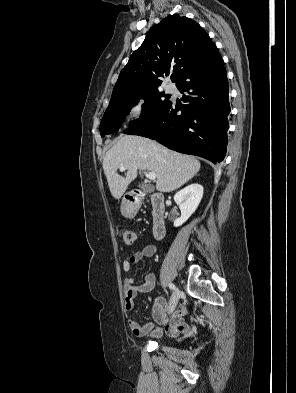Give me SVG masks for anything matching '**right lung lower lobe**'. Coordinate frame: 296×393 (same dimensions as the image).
Listing matches in <instances>:
<instances>
[{"instance_id": "1", "label": "right lung lower lobe", "mask_w": 296, "mask_h": 393, "mask_svg": "<svg viewBox=\"0 0 296 393\" xmlns=\"http://www.w3.org/2000/svg\"><path fill=\"white\" fill-rule=\"evenodd\" d=\"M176 87L187 93L182 106L170 100L153 118L123 132L155 139L172 150L214 164L221 162L226 154L230 105L226 70L215 44L181 75Z\"/></svg>"}]
</instances>
